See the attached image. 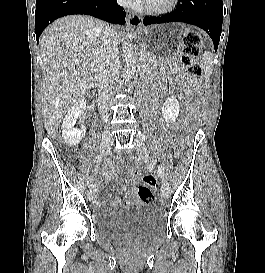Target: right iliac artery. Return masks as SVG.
Returning a JSON list of instances; mask_svg holds the SVG:
<instances>
[{
    "label": "right iliac artery",
    "mask_w": 265,
    "mask_h": 273,
    "mask_svg": "<svg viewBox=\"0 0 265 273\" xmlns=\"http://www.w3.org/2000/svg\"><path fill=\"white\" fill-rule=\"evenodd\" d=\"M102 158H103L102 155L96 156L95 157V163H100L102 161ZM87 185H88L89 188L93 186V179L91 177L88 178Z\"/></svg>",
    "instance_id": "82829eb1"
}]
</instances>
